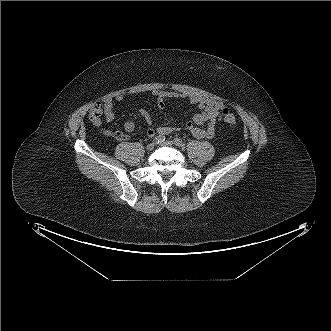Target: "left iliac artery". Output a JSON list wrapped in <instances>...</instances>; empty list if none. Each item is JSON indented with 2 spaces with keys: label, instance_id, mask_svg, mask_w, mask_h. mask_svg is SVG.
Segmentation results:
<instances>
[{
  "label": "left iliac artery",
  "instance_id": "obj_1",
  "mask_svg": "<svg viewBox=\"0 0 331 331\" xmlns=\"http://www.w3.org/2000/svg\"><path fill=\"white\" fill-rule=\"evenodd\" d=\"M174 143H175V145L180 146V147L184 146V143L180 138H174Z\"/></svg>",
  "mask_w": 331,
  "mask_h": 331
}]
</instances>
